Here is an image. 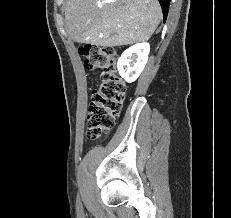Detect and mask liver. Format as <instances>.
Masks as SVG:
<instances>
[{
	"mask_svg": "<svg viewBox=\"0 0 231 218\" xmlns=\"http://www.w3.org/2000/svg\"><path fill=\"white\" fill-rule=\"evenodd\" d=\"M161 18L158 0H67L65 4L71 39L101 47L147 41Z\"/></svg>",
	"mask_w": 231,
	"mask_h": 218,
	"instance_id": "obj_1",
	"label": "liver"
}]
</instances>
